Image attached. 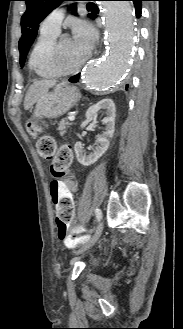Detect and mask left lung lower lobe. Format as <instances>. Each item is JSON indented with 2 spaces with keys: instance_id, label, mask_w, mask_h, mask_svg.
I'll return each instance as SVG.
<instances>
[{
  "instance_id": "1",
  "label": "left lung lower lobe",
  "mask_w": 183,
  "mask_h": 329,
  "mask_svg": "<svg viewBox=\"0 0 183 329\" xmlns=\"http://www.w3.org/2000/svg\"><path fill=\"white\" fill-rule=\"evenodd\" d=\"M130 1H133V3H134L136 16H137V17H140V15H141V6H142L141 3H142V1H144V0H130ZM95 17H96L95 15L92 16L93 19H94ZM79 76H80V74H77V75L71 77V78L69 79V81L72 82V83H76V82H78V80H79ZM127 86H128V85H127Z\"/></svg>"
}]
</instances>
